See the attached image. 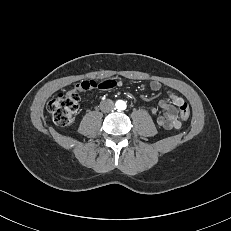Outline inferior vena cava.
I'll return each mask as SVG.
<instances>
[{"mask_svg": "<svg viewBox=\"0 0 231 231\" xmlns=\"http://www.w3.org/2000/svg\"><path fill=\"white\" fill-rule=\"evenodd\" d=\"M100 109L103 112H109L114 109V102L110 99L104 100L100 103Z\"/></svg>", "mask_w": 231, "mask_h": 231, "instance_id": "1", "label": "inferior vena cava"}]
</instances>
